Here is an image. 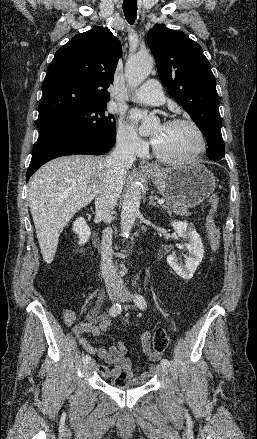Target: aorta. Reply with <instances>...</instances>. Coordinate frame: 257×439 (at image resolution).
<instances>
[{
	"label": "aorta",
	"mask_w": 257,
	"mask_h": 439,
	"mask_svg": "<svg viewBox=\"0 0 257 439\" xmlns=\"http://www.w3.org/2000/svg\"><path fill=\"white\" fill-rule=\"evenodd\" d=\"M153 69V59L150 56L132 55L126 62L125 77L132 87L140 85L151 73ZM151 120L144 122L140 127L141 133L148 132ZM141 201L140 183L133 182L124 196L121 211V232L123 237H127L133 228L135 219L139 214Z\"/></svg>",
	"instance_id": "aorta-1"
}]
</instances>
